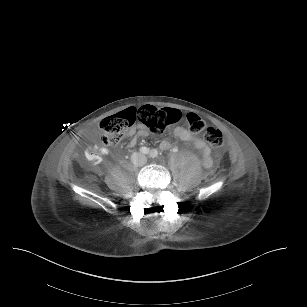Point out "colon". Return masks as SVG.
<instances>
[{"label":"colon","mask_w":307,"mask_h":307,"mask_svg":"<svg viewBox=\"0 0 307 307\" xmlns=\"http://www.w3.org/2000/svg\"><path fill=\"white\" fill-rule=\"evenodd\" d=\"M124 116H134L135 122L139 121L150 132L159 134L166 128L178 123L182 117V112L174 108L158 109L151 106H142L107 116L99 123L102 140L107 146H116L126 129L134 124L124 123ZM185 119L193 133H200L204 130L205 122L197 114L189 112L185 115ZM204 136L213 150L217 152L222 150L223 134L220 130L208 127L204 131Z\"/></svg>","instance_id":"obj_1"}]
</instances>
